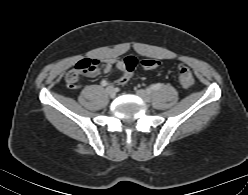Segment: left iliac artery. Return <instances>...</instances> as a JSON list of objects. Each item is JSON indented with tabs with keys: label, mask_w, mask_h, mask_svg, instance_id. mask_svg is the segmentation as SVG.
Masks as SVG:
<instances>
[{
	"label": "left iliac artery",
	"mask_w": 248,
	"mask_h": 195,
	"mask_svg": "<svg viewBox=\"0 0 248 195\" xmlns=\"http://www.w3.org/2000/svg\"><path fill=\"white\" fill-rule=\"evenodd\" d=\"M161 87H162V84L161 83H157V84L151 85L147 90L149 92L150 91H156V90H159Z\"/></svg>",
	"instance_id": "obj_1"
}]
</instances>
